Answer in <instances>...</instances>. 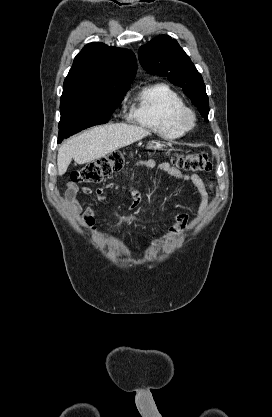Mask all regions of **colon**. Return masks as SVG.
<instances>
[{
	"label": "colon",
	"instance_id": "colon-1",
	"mask_svg": "<svg viewBox=\"0 0 272 417\" xmlns=\"http://www.w3.org/2000/svg\"><path fill=\"white\" fill-rule=\"evenodd\" d=\"M172 162L179 168L189 172H208L212 163L205 154L174 153ZM125 162V154L114 152L87 163L80 169L71 173L74 183H97L106 176L120 170Z\"/></svg>",
	"mask_w": 272,
	"mask_h": 417
}]
</instances>
